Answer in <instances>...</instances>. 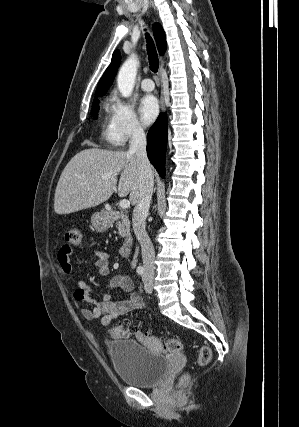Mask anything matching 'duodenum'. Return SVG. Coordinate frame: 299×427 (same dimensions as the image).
Wrapping results in <instances>:
<instances>
[{"label":"duodenum","instance_id":"duodenum-1","mask_svg":"<svg viewBox=\"0 0 299 427\" xmlns=\"http://www.w3.org/2000/svg\"><path fill=\"white\" fill-rule=\"evenodd\" d=\"M116 216H117L116 212L107 211V217L110 221L114 220ZM132 250H133V242L131 240H126L120 248V255L125 258L129 257L132 254Z\"/></svg>","mask_w":299,"mask_h":427}]
</instances>
